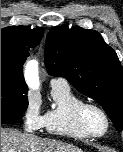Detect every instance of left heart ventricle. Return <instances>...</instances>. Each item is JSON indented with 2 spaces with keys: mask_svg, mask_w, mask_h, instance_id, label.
Wrapping results in <instances>:
<instances>
[{
  "mask_svg": "<svg viewBox=\"0 0 123 152\" xmlns=\"http://www.w3.org/2000/svg\"><path fill=\"white\" fill-rule=\"evenodd\" d=\"M84 122L87 128L93 133H102L106 123L103 116L94 109H88L84 115Z\"/></svg>",
  "mask_w": 123,
  "mask_h": 152,
  "instance_id": "obj_1",
  "label": "left heart ventricle"
}]
</instances>
